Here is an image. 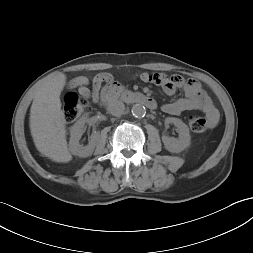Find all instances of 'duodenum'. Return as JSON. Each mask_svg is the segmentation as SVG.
<instances>
[{
  "mask_svg": "<svg viewBox=\"0 0 253 253\" xmlns=\"http://www.w3.org/2000/svg\"><path fill=\"white\" fill-rule=\"evenodd\" d=\"M118 98L126 103L144 105L151 110L157 107V103L152 97L142 93L125 91L117 83H111L103 90L99 104L105 105Z\"/></svg>",
  "mask_w": 253,
  "mask_h": 253,
  "instance_id": "410a0bca",
  "label": "duodenum"
}]
</instances>
